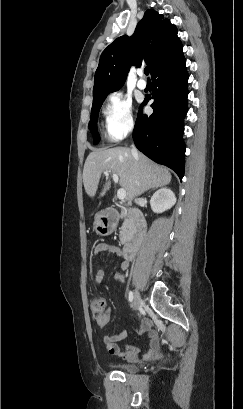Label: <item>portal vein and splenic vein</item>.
Listing matches in <instances>:
<instances>
[{"label": "portal vein and splenic vein", "mask_w": 243, "mask_h": 409, "mask_svg": "<svg viewBox=\"0 0 243 409\" xmlns=\"http://www.w3.org/2000/svg\"><path fill=\"white\" fill-rule=\"evenodd\" d=\"M109 173H110V171H108V170H106V171L104 172V174H105L106 176H108ZM112 177H113L114 182L117 184L118 181H119L118 175H117L116 173H112ZM117 197L119 198V200H124V199L126 198V191H125V189L119 188L118 191H117Z\"/></svg>", "instance_id": "18ae733b"}]
</instances>
